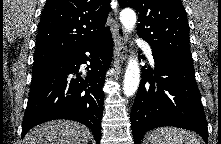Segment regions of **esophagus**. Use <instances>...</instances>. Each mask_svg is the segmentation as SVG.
I'll use <instances>...</instances> for the list:
<instances>
[{
    "label": "esophagus",
    "mask_w": 221,
    "mask_h": 144,
    "mask_svg": "<svg viewBox=\"0 0 221 144\" xmlns=\"http://www.w3.org/2000/svg\"><path fill=\"white\" fill-rule=\"evenodd\" d=\"M114 13L115 16H117V9H115ZM114 45L115 60H118L121 63H123L127 58V35L125 30L119 24H116L114 34Z\"/></svg>",
    "instance_id": "1"
}]
</instances>
